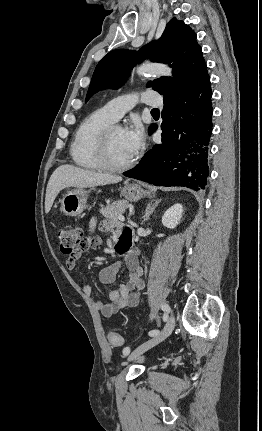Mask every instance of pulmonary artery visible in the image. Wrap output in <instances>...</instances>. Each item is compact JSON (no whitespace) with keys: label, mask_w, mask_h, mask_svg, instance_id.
Segmentation results:
<instances>
[{"label":"pulmonary artery","mask_w":262,"mask_h":431,"mask_svg":"<svg viewBox=\"0 0 262 431\" xmlns=\"http://www.w3.org/2000/svg\"><path fill=\"white\" fill-rule=\"evenodd\" d=\"M138 103L154 107L163 105V101L157 92L145 90L141 94L118 96L107 102L103 108L114 121H117Z\"/></svg>","instance_id":"obj_1"}]
</instances>
